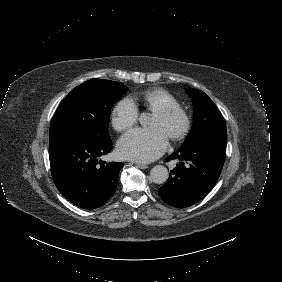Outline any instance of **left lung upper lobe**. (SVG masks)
Instances as JSON below:
<instances>
[{"instance_id": "5c2ea615", "label": "left lung upper lobe", "mask_w": 282, "mask_h": 282, "mask_svg": "<svg viewBox=\"0 0 282 282\" xmlns=\"http://www.w3.org/2000/svg\"><path fill=\"white\" fill-rule=\"evenodd\" d=\"M186 92L192 98L194 114L193 127L183 145L190 143L206 132L226 129L222 114L204 92L192 88L186 89Z\"/></svg>"}]
</instances>
